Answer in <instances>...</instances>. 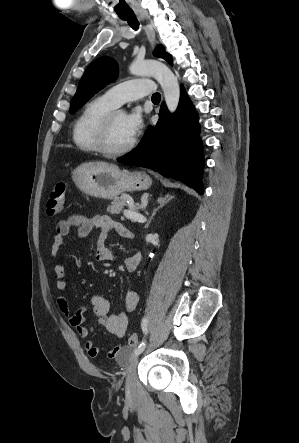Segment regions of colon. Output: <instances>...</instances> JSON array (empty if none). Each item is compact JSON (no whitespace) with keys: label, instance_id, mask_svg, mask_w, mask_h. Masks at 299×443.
I'll return each instance as SVG.
<instances>
[{"label":"colon","instance_id":"5ec220e1","mask_svg":"<svg viewBox=\"0 0 299 443\" xmlns=\"http://www.w3.org/2000/svg\"><path fill=\"white\" fill-rule=\"evenodd\" d=\"M66 194V184L62 181L58 182L52 191L50 192L47 203L46 212L49 218L57 217L63 207ZM139 344V336L136 333H132L128 337L129 348H134ZM128 354V349L121 352L119 359L123 361Z\"/></svg>","mask_w":299,"mask_h":443}]
</instances>
